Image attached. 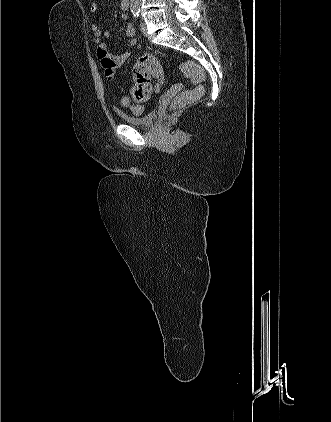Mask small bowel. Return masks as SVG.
Wrapping results in <instances>:
<instances>
[{
  "label": "small bowel",
  "instance_id": "obj_1",
  "mask_svg": "<svg viewBox=\"0 0 331 422\" xmlns=\"http://www.w3.org/2000/svg\"><path fill=\"white\" fill-rule=\"evenodd\" d=\"M97 3L92 2L90 5V12L95 13L97 11ZM121 8L126 11L121 1ZM123 20L127 19L126 14H122ZM91 31L94 35V42L96 45L97 56L103 69L104 75L107 79L111 80L115 74L117 68L121 67L132 55V50L138 45V40L134 38L135 29L133 25L128 24L125 28V36L130 38L129 48L130 50L125 51L121 54H113L109 51L107 45L103 41V38L110 36V32L102 29L98 24L93 23L91 25Z\"/></svg>",
  "mask_w": 331,
  "mask_h": 422
}]
</instances>
